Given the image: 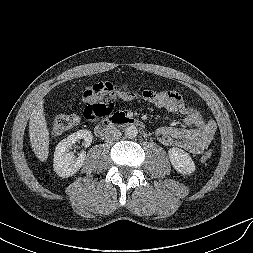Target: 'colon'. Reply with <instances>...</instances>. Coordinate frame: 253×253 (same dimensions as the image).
<instances>
[{"label": "colon", "mask_w": 253, "mask_h": 253, "mask_svg": "<svg viewBox=\"0 0 253 253\" xmlns=\"http://www.w3.org/2000/svg\"><path fill=\"white\" fill-rule=\"evenodd\" d=\"M110 109L102 103L92 104L84 113L85 117L88 119L102 117L110 114ZM78 121V117L75 114L69 113H58L56 114L51 123V132L53 135H60L70 129H72ZM213 156V151L208 150L202 156V161L207 162Z\"/></svg>", "instance_id": "obj_1"}]
</instances>
